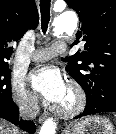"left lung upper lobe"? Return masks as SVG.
Returning a JSON list of instances; mask_svg holds the SVG:
<instances>
[{"instance_id": "1", "label": "left lung upper lobe", "mask_w": 116, "mask_h": 134, "mask_svg": "<svg viewBox=\"0 0 116 134\" xmlns=\"http://www.w3.org/2000/svg\"><path fill=\"white\" fill-rule=\"evenodd\" d=\"M80 19L74 44L83 52L66 57V70L84 89L87 101L116 99V0H66Z\"/></svg>"}]
</instances>
